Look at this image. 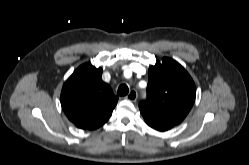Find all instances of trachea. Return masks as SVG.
<instances>
[{"mask_svg": "<svg viewBox=\"0 0 249 165\" xmlns=\"http://www.w3.org/2000/svg\"><path fill=\"white\" fill-rule=\"evenodd\" d=\"M129 92V88L126 84H122L118 87V95L119 96H126Z\"/></svg>", "mask_w": 249, "mask_h": 165, "instance_id": "obj_1", "label": "trachea"}]
</instances>
